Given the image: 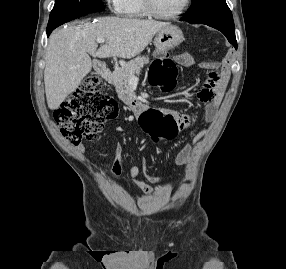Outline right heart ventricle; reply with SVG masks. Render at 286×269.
I'll return each mask as SVG.
<instances>
[{"label":"right heart ventricle","instance_id":"1","mask_svg":"<svg viewBox=\"0 0 286 269\" xmlns=\"http://www.w3.org/2000/svg\"><path fill=\"white\" fill-rule=\"evenodd\" d=\"M119 13L124 17L132 19L147 17L142 0H122Z\"/></svg>","mask_w":286,"mask_h":269}]
</instances>
